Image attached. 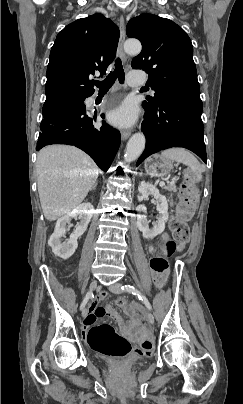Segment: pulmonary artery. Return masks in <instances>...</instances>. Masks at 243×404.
<instances>
[{"instance_id": "obj_1", "label": "pulmonary artery", "mask_w": 243, "mask_h": 404, "mask_svg": "<svg viewBox=\"0 0 243 404\" xmlns=\"http://www.w3.org/2000/svg\"><path fill=\"white\" fill-rule=\"evenodd\" d=\"M127 83L130 85H137L136 82L132 81V80H127ZM100 98L97 95L92 96L91 100L92 102H95L97 100H99Z\"/></svg>"}]
</instances>
